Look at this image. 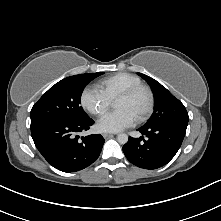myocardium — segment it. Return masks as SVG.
I'll list each match as a JSON object with an SVG mask.
<instances>
[{
    "label": "myocardium",
    "mask_w": 221,
    "mask_h": 221,
    "mask_svg": "<svg viewBox=\"0 0 221 221\" xmlns=\"http://www.w3.org/2000/svg\"><path fill=\"white\" fill-rule=\"evenodd\" d=\"M140 91L146 92L148 96V105L145 111L136 119L137 122L145 121L153 112L155 100H154V94L151 88L141 83V84H138V85H135L126 89L125 91L120 93L116 98V100L130 98Z\"/></svg>",
    "instance_id": "obj_1"
}]
</instances>
